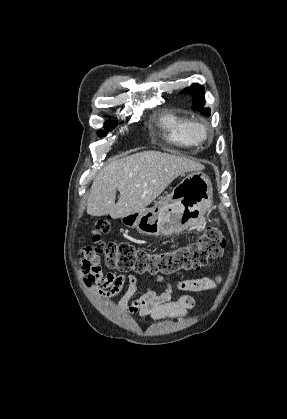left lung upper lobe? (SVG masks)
<instances>
[{"instance_id": "left-lung-upper-lobe-1", "label": "left lung upper lobe", "mask_w": 287, "mask_h": 419, "mask_svg": "<svg viewBox=\"0 0 287 419\" xmlns=\"http://www.w3.org/2000/svg\"><path fill=\"white\" fill-rule=\"evenodd\" d=\"M187 91L193 98L192 109L200 111L203 115L210 116V109L204 108V88L199 84H192L189 88H185L181 93Z\"/></svg>"}]
</instances>
